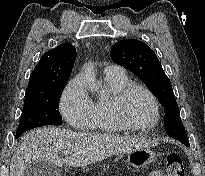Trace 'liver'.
<instances>
[{
	"instance_id": "liver-1",
	"label": "liver",
	"mask_w": 205,
	"mask_h": 176,
	"mask_svg": "<svg viewBox=\"0 0 205 176\" xmlns=\"http://www.w3.org/2000/svg\"><path fill=\"white\" fill-rule=\"evenodd\" d=\"M152 144L143 139L115 135L81 133L54 127L39 128L22 138L11 160L10 176H25V169L33 162L45 161L59 167H83ZM63 151H68L69 156L63 158Z\"/></svg>"
}]
</instances>
